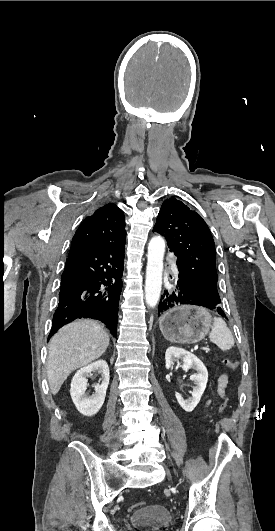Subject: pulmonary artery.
I'll return each mask as SVG.
<instances>
[{
    "instance_id": "e3ab8cb5",
    "label": "pulmonary artery",
    "mask_w": 275,
    "mask_h": 531,
    "mask_svg": "<svg viewBox=\"0 0 275 531\" xmlns=\"http://www.w3.org/2000/svg\"><path fill=\"white\" fill-rule=\"evenodd\" d=\"M178 266H179L178 261H176V260L171 261L170 266L168 268L169 273L172 274V275L177 274L178 271H179Z\"/></svg>"
}]
</instances>
